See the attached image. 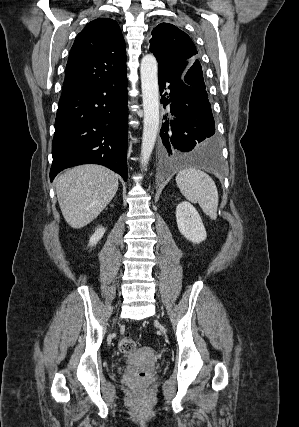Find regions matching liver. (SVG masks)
<instances>
[{
	"instance_id": "1",
	"label": "liver",
	"mask_w": 299,
	"mask_h": 427,
	"mask_svg": "<svg viewBox=\"0 0 299 427\" xmlns=\"http://www.w3.org/2000/svg\"><path fill=\"white\" fill-rule=\"evenodd\" d=\"M55 186L63 217L78 229L93 221L113 199L118 176L104 166L81 165L60 174Z\"/></svg>"
}]
</instances>
